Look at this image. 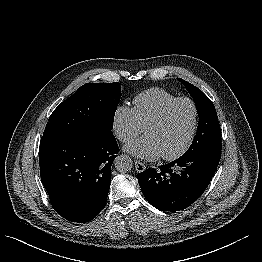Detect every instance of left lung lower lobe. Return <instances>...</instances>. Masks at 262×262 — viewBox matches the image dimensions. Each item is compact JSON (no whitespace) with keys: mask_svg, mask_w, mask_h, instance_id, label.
I'll list each match as a JSON object with an SVG mask.
<instances>
[{"mask_svg":"<svg viewBox=\"0 0 262 262\" xmlns=\"http://www.w3.org/2000/svg\"><path fill=\"white\" fill-rule=\"evenodd\" d=\"M221 151L206 150L184 154L177 160L138 174L142 193L162 211H180L193 204L208 187Z\"/></svg>","mask_w":262,"mask_h":262,"instance_id":"0a47b994","label":"left lung lower lobe"}]
</instances>
